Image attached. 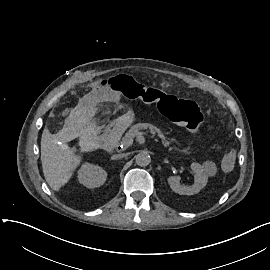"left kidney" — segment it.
<instances>
[{
    "label": "left kidney",
    "mask_w": 270,
    "mask_h": 270,
    "mask_svg": "<svg viewBox=\"0 0 270 270\" xmlns=\"http://www.w3.org/2000/svg\"><path fill=\"white\" fill-rule=\"evenodd\" d=\"M190 169L196 174V182L192 186L181 185V177L179 175H171L167 178L168 185L173 192L180 195H193L197 194L207 185V175L203 172V168L200 164L192 163Z\"/></svg>",
    "instance_id": "5707ae66"
}]
</instances>
